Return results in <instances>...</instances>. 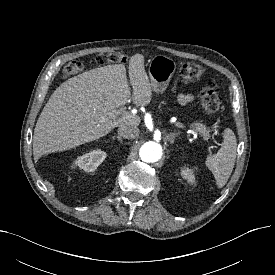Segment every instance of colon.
Masks as SVG:
<instances>
[{
	"mask_svg": "<svg viewBox=\"0 0 275 275\" xmlns=\"http://www.w3.org/2000/svg\"><path fill=\"white\" fill-rule=\"evenodd\" d=\"M127 57L116 51H107L99 53L95 61L99 65L124 62ZM83 69V63L78 60L69 62L63 69L65 76H73L80 73ZM205 68L197 63L188 62L180 67V75L185 82L199 81L205 74ZM201 102L204 110L210 114L218 113L222 107V101L216 90V84L213 81L205 83L201 87Z\"/></svg>",
	"mask_w": 275,
	"mask_h": 275,
	"instance_id": "5ec220e1",
	"label": "colon"
}]
</instances>
